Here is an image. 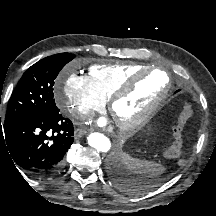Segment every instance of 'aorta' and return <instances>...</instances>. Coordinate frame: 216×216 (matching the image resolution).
Returning <instances> with one entry per match:
<instances>
[{"label": "aorta", "mask_w": 216, "mask_h": 216, "mask_svg": "<svg viewBox=\"0 0 216 216\" xmlns=\"http://www.w3.org/2000/svg\"><path fill=\"white\" fill-rule=\"evenodd\" d=\"M88 144L99 152H108L111 149V141L101 133H91L87 137Z\"/></svg>", "instance_id": "1"}]
</instances>
